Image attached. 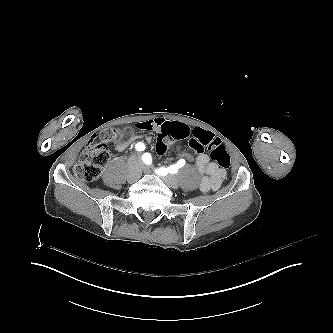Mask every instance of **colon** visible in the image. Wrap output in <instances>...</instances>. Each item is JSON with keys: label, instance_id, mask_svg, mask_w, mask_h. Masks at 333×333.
<instances>
[{"label": "colon", "instance_id": "5ec220e1", "mask_svg": "<svg viewBox=\"0 0 333 333\" xmlns=\"http://www.w3.org/2000/svg\"><path fill=\"white\" fill-rule=\"evenodd\" d=\"M123 135L119 129L112 128L91 138L74 166L75 176L81 181L96 180L109 160L108 148L112 146L114 149H121L124 146V141L136 135V128L133 125H126L123 128ZM171 138H190L188 144L194 151L204 152L205 149H208L209 157L220 168L228 169L230 166L228 150L220 140L203 130L191 128L186 123L176 125L171 122L164 123L157 134L155 152L160 155L167 154L170 149L167 141Z\"/></svg>", "mask_w": 333, "mask_h": 333}]
</instances>
